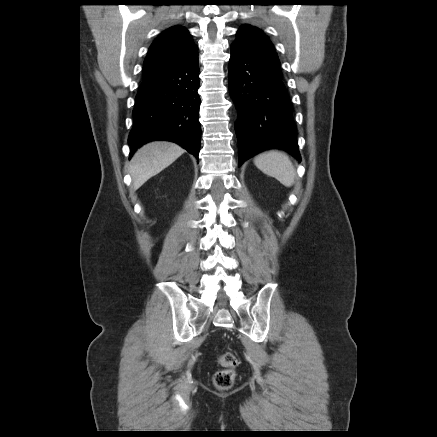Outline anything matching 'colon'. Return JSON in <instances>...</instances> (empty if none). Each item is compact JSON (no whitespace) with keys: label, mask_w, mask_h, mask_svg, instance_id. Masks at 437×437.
Masks as SVG:
<instances>
[{"label":"colon","mask_w":437,"mask_h":437,"mask_svg":"<svg viewBox=\"0 0 437 437\" xmlns=\"http://www.w3.org/2000/svg\"><path fill=\"white\" fill-rule=\"evenodd\" d=\"M222 369L214 375V384L218 389L226 390L232 387L238 366V358L231 352H226L219 357Z\"/></svg>","instance_id":"5ec220e1"}]
</instances>
